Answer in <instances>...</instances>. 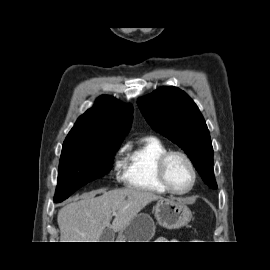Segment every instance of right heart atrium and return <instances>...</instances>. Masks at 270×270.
Returning a JSON list of instances; mask_svg holds the SVG:
<instances>
[{
    "label": "right heart atrium",
    "mask_w": 270,
    "mask_h": 270,
    "mask_svg": "<svg viewBox=\"0 0 270 270\" xmlns=\"http://www.w3.org/2000/svg\"><path fill=\"white\" fill-rule=\"evenodd\" d=\"M124 148H121L118 153L116 160L114 161L113 168L116 173H119L121 169L123 168V161L119 159V155L123 152Z\"/></svg>",
    "instance_id": "1"
}]
</instances>
